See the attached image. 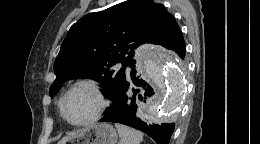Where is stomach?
<instances>
[{
  "mask_svg": "<svg viewBox=\"0 0 260 144\" xmlns=\"http://www.w3.org/2000/svg\"><path fill=\"white\" fill-rule=\"evenodd\" d=\"M117 132L110 124H97L80 131L73 137V144H116Z\"/></svg>",
  "mask_w": 260,
  "mask_h": 144,
  "instance_id": "stomach-1",
  "label": "stomach"
}]
</instances>
